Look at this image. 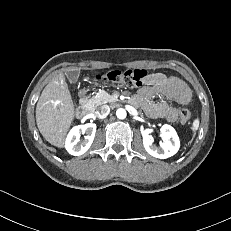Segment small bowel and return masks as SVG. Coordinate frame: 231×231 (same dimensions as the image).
Instances as JSON below:
<instances>
[{
  "mask_svg": "<svg viewBox=\"0 0 231 231\" xmlns=\"http://www.w3.org/2000/svg\"><path fill=\"white\" fill-rule=\"evenodd\" d=\"M162 95L180 105H187L192 97L188 85L181 79L162 73H152L146 78L145 84L133 97V102L140 105L149 115L175 121L177 109L166 101H153L154 95Z\"/></svg>",
  "mask_w": 231,
  "mask_h": 231,
  "instance_id": "c3829d8e",
  "label": "small bowel"
}]
</instances>
